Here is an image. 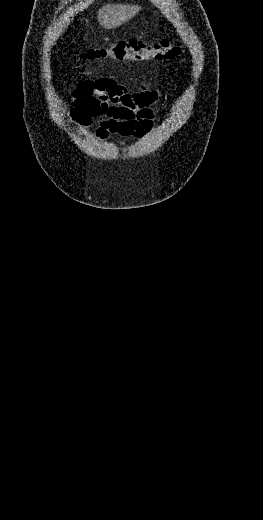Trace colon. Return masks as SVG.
Listing matches in <instances>:
<instances>
[{
  "mask_svg": "<svg viewBox=\"0 0 263 520\" xmlns=\"http://www.w3.org/2000/svg\"><path fill=\"white\" fill-rule=\"evenodd\" d=\"M180 54V48L171 40L163 39L156 43H146L131 38L115 41L107 46L90 49L81 54L87 60H115L119 62H144L171 59Z\"/></svg>",
  "mask_w": 263,
  "mask_h": 520,
  "instance_id": "obj_1",
  "label": "colon"
}]
</instances>
